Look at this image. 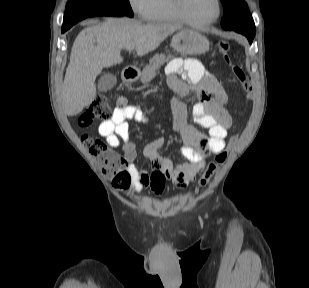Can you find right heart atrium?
Instances as JSON below:
<instances>
[{"label":"right heart atrium","instance_id":"d8ad5b80","mask_svg":"<svg viewBox=\"0 0 309 288\" xmlns=\"http://www.w3.org/2000/svg\"><path fill=\"white\" fill-rule=\"evenodd\" d=\"M151 0H128L129 5L133 12L140 17L147 16V9Z\"/></svg>","mask_w":309,"mask_h":288}]
</instances>
